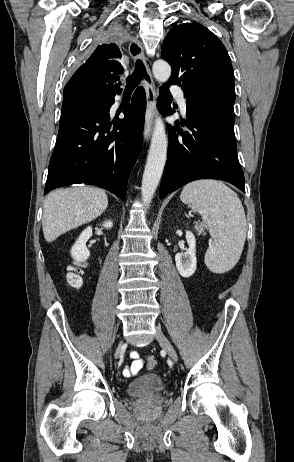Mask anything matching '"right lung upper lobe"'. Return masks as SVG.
<instances>
[{
  "label": "right lung upper lobe",
  "instance_id": "right-lung-upper-lobe-1",
  "mask_svg": "<svg viewBox=\"0 0 294 462\" xmlns=\"http://www.w3.org/2000/svg\"><path fill=\"white\" fill-rule=\"evenodd\" d=\"M121 57V51L116 44L99 45L64 87V99L79 94L102 97L120 94L122 89L117 80L118 75L124 71Z\"/></svg>",
  "mask_w": 294,
  "mask_h": 462
}]
</instances>
